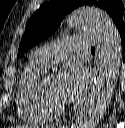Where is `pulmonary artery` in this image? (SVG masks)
<instances>
[{
	"label": "pulmonary artery",
	"instance_id": "obj_1",
	"mask_svg": "<svg viewBox=\"0 0 125 128\" xmlns=\"http://www.w3.org/2000/svg\"><path fill=\"white\" fill-rule=\"evenodd\" d=\"M94 44L95 38L91 34H77L65 37L56 44L44 46L33 52L30 61L47 69L55 61L76 51L90 49Z\"/></svg>",
	"mask_w": 125,
	"mask_h": 128
}]
</instances>
